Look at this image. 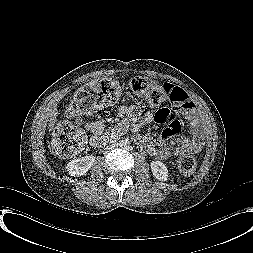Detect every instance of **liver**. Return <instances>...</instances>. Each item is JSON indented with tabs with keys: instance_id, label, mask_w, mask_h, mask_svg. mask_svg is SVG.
I'll use <instances>...</instances> for the list:
<instances>
[{
	"instance_id": "6515ba94",
	"label": "liver",
	"mask_w": 253,
	"mask_h": 253,
	"mask_svg": "<svg viewBox=\"0 0 253 253\" xmlns=\"http://www.w3.org/2000/svg\"><path fill=\"white\" fill-rule=\"evenodd\" d=\"M56 117H57V112H56V109L53 110L50 114V122H49V130H52L54 125H55V122H56Z\"/></svg>"
}]
</instances>
